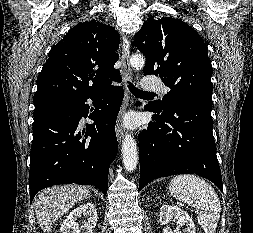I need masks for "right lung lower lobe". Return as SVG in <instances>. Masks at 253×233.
I'll use <instances>...</instances> for the list:
<instances>
[{
  "instance_id": "98d812e1",
  "label": "right lung lower lobe",
  "mask_w": 253,
  "mask_h": 233,
  "mask_svg": "<svg viewBox=\"0 0 253 233\" xmlns=\"http://www.w3.org/2000/svg\"><path fill=\"white\" fill-rule=\"evenodd\" d=\"M116 81L121 82V77ZM123 96L121 86L109 85L81 97L35 104L30 202L39 190L57 184L94 185L107 194L109 166L118 151L115 123ZM100 98L103 101L98 104ZM87 99L97 106L89 115L94 124L82 129L80 120L89 113Z\"/></svg>"
}]
</instances>
